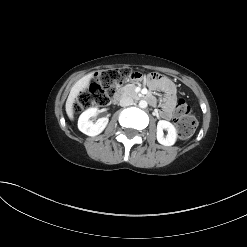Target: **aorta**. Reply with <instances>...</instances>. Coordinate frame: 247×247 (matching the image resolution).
I'll use <instances>...</instances> for the list:
<instances>
[{
  "label": "aorta",
  "instance_id": "aorta-1",
  "mask_svg": "<svg viewBox=\"0 0 247 247\" xmlns=\"http://www.w3.org/2000/svg\"><path fill=\"white\" fill-rule=\"evenodd\" d=\"M147 101H145V100H140V102H139V107L140 108H146L147 107Z\"/></svg>",
  "mask_w": 247,
  "mask_h": 247
}]
</instances>
